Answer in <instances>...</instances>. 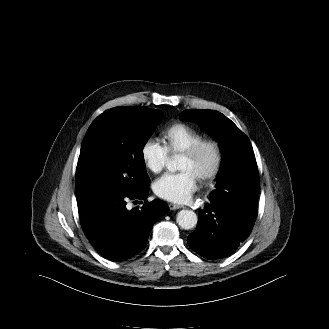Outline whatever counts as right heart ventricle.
Returning a JSON list of instances; mask_svg holds the SVG:
<instances>
[{"mask_svg": "<svg viewBox=\"0 0 329 329\" xmlns=\"http://www.w3.org/2000/svg\"><path fill=\"white\" fill-rule=\"evenodd\" d=\"M169 153L176 155L204 138V135L185 123L170 125L163 133Z\"/></svg>", "mask_w": 329, "mask_h": 329, "instance_id": "1", "label": "right heart ventricle"}]
</instances>
